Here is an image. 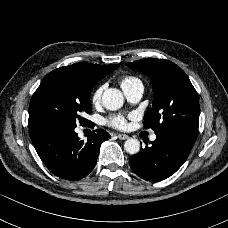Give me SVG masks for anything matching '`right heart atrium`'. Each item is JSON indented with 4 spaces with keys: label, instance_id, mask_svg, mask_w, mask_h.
Listing matches in <instances>:
<instances>
[{
    "label": "right heart atrium",
    "instance_id": "d8ad5b80",
    "mask_svg": "<svg viewBox=\"0 0 228 228\" xmlns=\"http://www.w3.org/2000/svg\"><path fill=\"white\" fill-rule=\"evenodd\" d=\"M106 87V84L103 83V84H100L92 93L91 95V101L95 104V103H98L101 99V96H102V93H103V90L105 89Z\"/></svg>",
    "mask_w": 228,
    "mask_h": 228
}]
</instances>
